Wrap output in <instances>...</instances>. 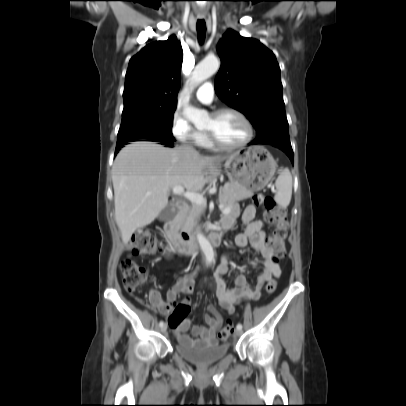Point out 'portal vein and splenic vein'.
Listing matches in <instances>:
<instances>
[{
	"label": "portal vein and splenic vein",
	"mask_w": 406,
	"mask_h": 406,
	"mask_svg": "<svg viewBox=\"0 0 406 406\" xmlns=\"http://www.w3.org/2000/svg\"><path fill=\"white\" fill-rule=\"evenodd\" d=\"M173 193L182 195L186 199L190 200L192 203L202 205L205 203V199L202 195L194 192H185L184 188L182 186H175L173 187ZM219 208L221 209L223 214H228L231 211V207L224 208L223 205H219Z\"/></svg>",
	"instance_id": "1"
}]
</instances>
